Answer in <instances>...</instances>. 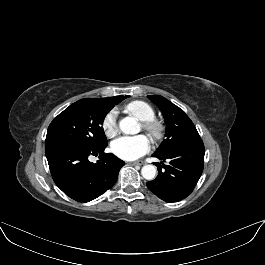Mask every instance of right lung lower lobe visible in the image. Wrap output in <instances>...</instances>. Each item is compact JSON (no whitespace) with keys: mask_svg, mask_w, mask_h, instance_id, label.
<instances>
[{"mask_svg":"<svg viewBox=\"0 0 265 265\" xmlns=\"http://www.w3.org/2000/svg\"><path fill=\"white\" fill-rule=\"evenodd\" d=\"M106 145L86 147L74 142H47L45 153L56 185L70 198L89 202L110 189L125 165L113 154L104 153ZM90 155H99L97 163Z\"/></svg>","mask_w":265,"mask_h":265,"instance_id":"right-lung-lower-lobe-1","label":"right lung lower lobe"}]
</instances>
